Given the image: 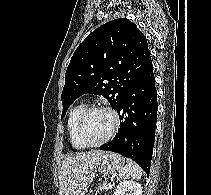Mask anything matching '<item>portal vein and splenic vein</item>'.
<instances>
[{"mask_svg":"<svg viewBox=\"0 0 211 195\" xmlns=\"http://www.w3.org/2000/svg\"><path fill=\"white\" fill-rule=\"evenodd\" d=\"M112 186H113L112 184H108V187H109V188H112Z\"/></svg>","mask_w":211,"mask_h":195,"instance_id":"obj_1","label":"portal vein and splenic vein"}]
</instances>
